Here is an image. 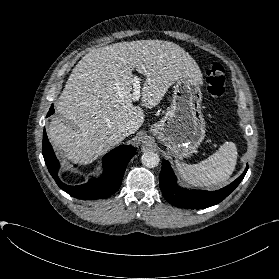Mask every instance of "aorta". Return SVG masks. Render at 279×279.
Instances as JSON below:
<instances>
[{
	"instance_id": "762f6f07",
	"label": "aorta",
	"mask_w": 279,
	"mask_h": 279,
	"mask_svg": "<svg viewBox=\"0 0 279 279\" xmlns=\"http://www.w3.org/2000/svg\"><path fill=\"white\" fill-rule=\"evenodd\" d=\"M141 162L147 168H154L159 164L160 158L157 153L146 151L142 154Z\"/></svg>"
}]
</instances>
